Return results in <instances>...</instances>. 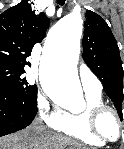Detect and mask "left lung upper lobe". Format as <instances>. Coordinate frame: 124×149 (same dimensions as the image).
Here are the masks:
<instances>
[{"instance_id": "5c2ea615", "label": "left lung upper lobe", "mask_w": 124, "mask_h": 149, "mask_svg": "<svg viewBox=\"0 0 124 149\" xmlns=\"http://www.w3.org/2000/svg\"><path fill=\"white\" fill-rule=\"evenodd\" d=\"M83 58L102 82L122 120L123 68L119 48L107 23L90 10L84 22Z\"/></svg>"}]
</instances>
